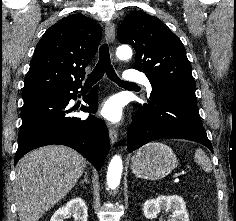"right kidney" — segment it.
Segmentation results:
<instances>
[{"instance_id":"obj_1","label":"right kidney","mask_w":236,"mask_h":221,"mask_svg":"<svg viewBox=\"0 0 236 221\" xmlns=\"http://www.w3.org/2000/svg\"><path fill=\"white\" fill-rule=\"evenodd\" d=\"M67 215H72L75 221H87L88 212L84 200L80 197L70 200L53 214L50 221H64Z\"/></svg>"}]
</instances>
